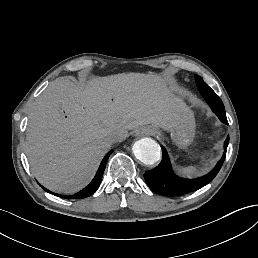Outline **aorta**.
<instances>
[{
    "label": "aorta",
    "instance_id": "obj_1",
    "mask_svg": "<svg viewBox=\"0 0 258 258\" xmlns=\"http://www.w3.org/2000/svg\"><path fill=\"white\" fill-rule=\"evenodd\" d=\"M135 157L145 165H153L161 158V149L151 138L136 141L132 147Z\"/></svg>",
    "mask_w": 258,
    "mask_h": 258
}]
</instances>
